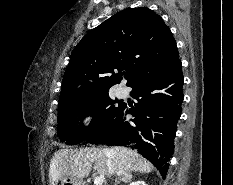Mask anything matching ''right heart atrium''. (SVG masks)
I'll list each match as a JSON object with an SVG mask.
<instances>
[{"label":"right heart atrium","instance_id":"1","mask_svg":"<svg viewBox=\"0 0 233 185\" xmlns=\"http://www.w3.org/2000/svg\"><path fill=\"white\" fill-rule=\"evenodd\" d=\"M95 112L93 109L86 110L79 120V126L82 129H87L91 126L93 120H94Z\"/></svg>","mask_w":233,"mask_h":185}]
</instances>
